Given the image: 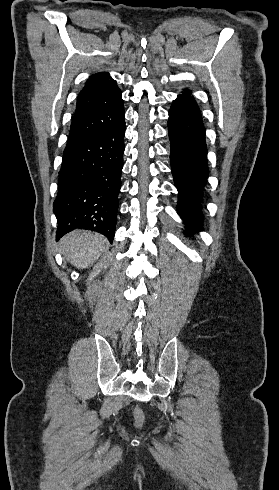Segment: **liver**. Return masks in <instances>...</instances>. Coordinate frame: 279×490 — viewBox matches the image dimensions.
<instances>
[{
	"label": "liver",
	"mask_w": 279,
	"mask_h": 490,
	"mask_svg": "<svg viewBox=\"0 0 279 490\" xmlns=\"http://www.w3.org/2000/svg\"><path fill=\"white\" fill-rule=\"evenodd\" d=\"M61 250L67 262L76 268H89L99 260L108 246V240L96 232L74 230L62 238Z\"/></svg>",
	"instance_id": "obj_1"
}]
</instances>
